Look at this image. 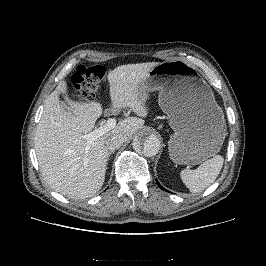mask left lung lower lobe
Returning a JSON list of instances; mask_svg holds the SVG:
<instances>
[{"label":"left lung lower lobe","mask_w":266,"mask_h":266,"mask_svg":"<svg viewBox=\"0 0 266 266\" xmlns=\"http://www.w3.org/2000/svg\"><path fill=\"white\" fill-rule=\"evenodd\" d=\"M156 182H157L158 186H159L161 189L167 191L166 189H164V188L159 184V182H158L157 180H156Z\"/></svg>","instance_id":"obj_1"}]
</instances>
